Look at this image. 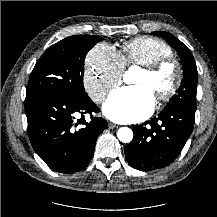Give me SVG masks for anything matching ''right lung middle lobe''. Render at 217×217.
<instances>
[{
    "label": "right lung middle lobe",
    "instance_id": "obj_1",
    "mask_svg": "<svg viewBox=\"0 0 217 217\" xmlns=\"http://www.w3.org/2000/svg\"><path fill=\"white\" fill-rule=\"evenodd\" d=\"M101 40L99 36L76 35L49 47L30 75L26 98L38 95L87 98L83 86L84 60L88 51Z\"/></svg>",
    "mask_w": 217,
    "mask_h": 217
}]
</instances>
